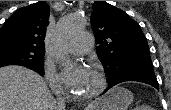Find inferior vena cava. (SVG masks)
Wrapping results in <instances>:
<instances>
[{
	"instance_id": "obj_1",
	"label": "inferior vena cava",
	"mask_w": 171,
	"mask_h": 110,
	"mask_svg": "<svg viewBox=\"0 0 171 110\" xmlns=\"http://www.w3.org/2000/svg\"><path fill=\"white\" fill-rule=\"evenodd\" d=\"M55 94L57 96V102L56 103H57L58 110H65V102H64V99L61 95V89L59 86H57L55 88Z\"/></svg>"
}]
</instances>
